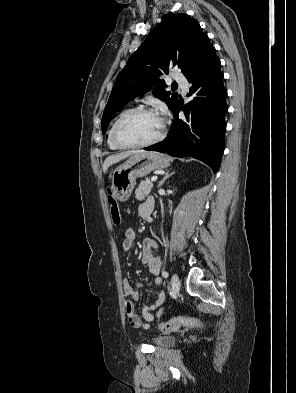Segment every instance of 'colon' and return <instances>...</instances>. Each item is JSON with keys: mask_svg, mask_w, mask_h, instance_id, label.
I'll use <instances>...</instances> for the list:
<instances>
[{"mask_svg": "<svg viewBox=\"0 0 296 393\" xmlns=\"http://www.w3.org/2000/svg\"><path fill=\"white\" fill-rule=\"evenodd\" d=\"M108 202L110 205V213L112 221L115 225H120L121 223V213L119 210L118 203L111 192L108 195ZM203 323L195 318H173L165 323L159 324V328L163 331L174 330L179 327H201Z\"/></svg>", "mask_w": 296, "mask_h": 393, "instance_id": "5ec220e1", "label": "colon"}]
</instances>
